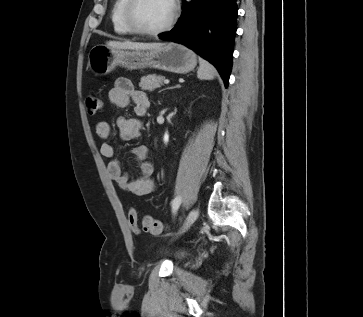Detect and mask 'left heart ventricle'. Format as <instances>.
Instances as JSON below:
<instances>
[{
  "instance_id": "1",
  "label": "left heart ventricle",
  "mask_w": 363,
  "mask_h": 317,
  "mask_svg": "<svg viewBox=\"0 0 363 317\" xmlns=\"http://www.w3.org/2000/svg\"><path fill=\"white\" fill-rule=\"evenodd\" d=\"M171 10L170 0H139L134 17L140 27L155 30L167 22Z\"/></svg>"
}]
</instances>
